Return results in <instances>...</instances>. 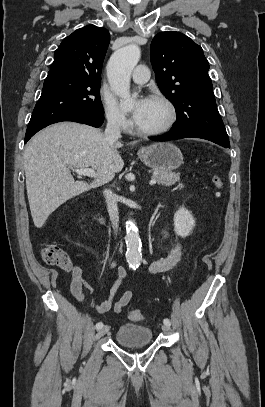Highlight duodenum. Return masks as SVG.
I'll list each match as a JSON object with an SVG mask.
<instances>
[{"instance_id":"duodenum-1","label":"duodenum","mask_w":265,"mask_h":407,"mask_svg":"<svg viewBox=\"0 0 265 407\" xmlns=\"http://www.w3.org/2000/svg\"><path fill=\"white\" fill-rule=\"evenodd\" d=\"M94 218L98 223H100L102 225H104L106 223V219L99 211L94 212Z\"/></svg>"}]
</instances>
